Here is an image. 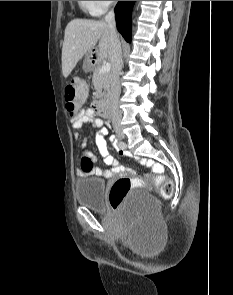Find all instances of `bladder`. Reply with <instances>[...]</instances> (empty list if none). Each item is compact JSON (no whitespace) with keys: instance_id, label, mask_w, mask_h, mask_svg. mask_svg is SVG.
<instances>
[{"instance_id":"31cf9c89","label":"bladder","mask_w":233,"mask_h":295,"mask_svg":"<svg viewBox=\"0 0 233 295\" xmlns=\"http://www.w3.org/2000/svg\"><path fill=\"white\" fill-rule=\"evenodd\" d=\"M105 182L95 177H82L76 181L75 192L77 202L93 211L104 212L106 204L104 195ZM160 204L155 196L139 191L124 207L126 214H133L144 221H153L159 215Z\"/></svg>"}]
</instances>
